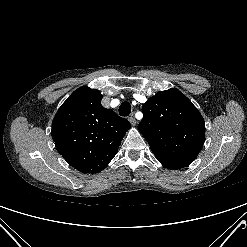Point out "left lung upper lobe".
<instances>
[{
	"instance_id": "left-lung-upper-lobe-1",
	"label": "left lung upper lobe",
	"mask_w": 247,
	"mask_h": 247,
	"mask_svg": "<svg viewBox=\"0 0 247 247\" xmlns=\"http://www.w3.org/2000/svg\"><path fill=\"white\" fill-rule=\"evenodd\" d=\"M138 125L164 167L184 168L198 156L205 141V122L193 103L178 89L161 91L142 107Z\"/></svg>"
}]
</instances>
